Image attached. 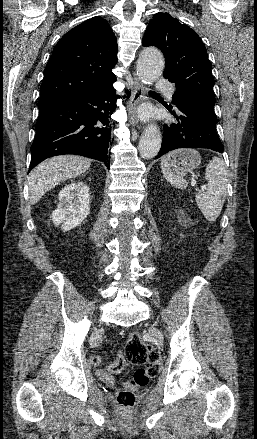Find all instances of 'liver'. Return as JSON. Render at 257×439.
<instances>
[{
	"label": "liver",
	"mask_w": 257,
	"mask_h": 439,
	"mask_svg": "<svg viewBox=\"0 0 257 439\" xmlns=\"http://www.w3.org/2000/svg\"><path fill=\"white\" fill-rule=\"evenodd\" d=\"M91 161L75 155H60L42 162L29 176L30 203L36 204L57 184L87 171Z\"/></svg>",
	"instance_id": "obj_1"
}]
</instances>
